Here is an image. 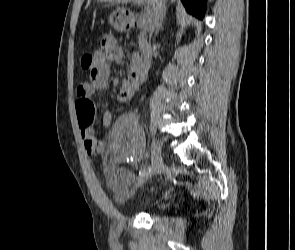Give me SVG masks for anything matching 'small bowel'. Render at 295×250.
Masks as SVG:
<instances>
[{"instance_id": "1", "label": "small bowel", "mask_w": 295, "mask_h": 250, "mask_svg": "<svg viewBox=\"0 0 295 250\" xmlns=\"http://www.w3.org/2000/svg\"><path fill=\"white\" fill-rule=\"evenodd\" d=\"M101 49L93 53L95 67L91 70L90 81L77 87L79 99L90 98L97 92H107L110 88V66L113 61H120L124 57L123 50L117 45L113 36L107 35L101 39ZM140 86V81L135 77L133 68L123 80L117 99L120 103L131 100ZM112 121L111 113L105 110L102 122L109 127ZM81 135L86 152L89 155H99L105 151L104 144L97 140L94 131L90 128L82 129ZM111 155L116 162L125 159L138 158L143 152V133L137 116L133 112L121 115L113 125L111 131ZM109 187L119 198L129 194V188L134 182V174L125 168H111L108 171Z\"/></svg>"}]
</instances>
